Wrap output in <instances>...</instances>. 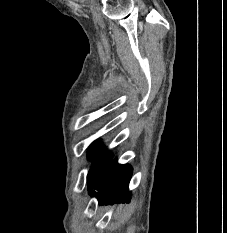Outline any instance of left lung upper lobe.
Listing matches in <instances>:
<instances>
[{"label":"left lung upper lobe","mask_w":227,"mask_h":233,"mask_svg":"<svg viewBox=\"0 0 227 233\" xmlns=\"http://www.w3.org/2000/svg\"><path fill=\"white\" fill-rule=\"evenodd\" d=\"M88 157L94 162L87 175L88 188L90 193H95L93 189L97 190L99 188L102 177L111 163L112 155L94 141L89 148Z\"/></svg>","instance_id":"obj_1"}]
</instances>
